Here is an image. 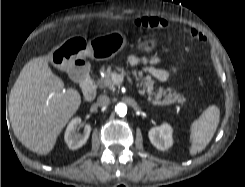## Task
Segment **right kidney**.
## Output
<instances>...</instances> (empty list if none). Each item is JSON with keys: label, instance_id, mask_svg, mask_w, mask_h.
I'll return each mask as SVG.
<instances>
[{"label": "right kidney", "instance_id": "ca27d5eb", "mask_svg": "<svg viewBox=\"0 0 245 187\" xmlns=\"http://www.w3.org/2000/svg\"><path fill=\"white\" fill-rule=\"evenodd\" d=\"M81 118L76 117L70 121L65 132V142L71 150L82 147L89 138L91 127L89 124L84 126L82 134L77 133V128L81 125Z\"/></svg>", "mask_w": 245, "mask_h": 187}]
</instances>
